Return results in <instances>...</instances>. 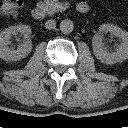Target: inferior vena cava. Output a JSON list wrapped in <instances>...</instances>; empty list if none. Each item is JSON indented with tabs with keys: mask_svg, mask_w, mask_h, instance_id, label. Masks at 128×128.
I'll return each mask as SVG.
<instances>
[{
	"mask_svg": "<svg viewBox=\"0 0 128 128\" xmlns=\"http://www.w3.org/2000/svg\"><path fill=\"white\" fill-rule=\"evenodd\" d=\"M55 26H56L55 20H48L45 23V28L48 29V30L54 29Z\"/></svg>",
	"mask_w": 128,
	"mask_h": 128,
	"instance_id": "1",
	"label": "inferior vena cava"
}]
</instances>
